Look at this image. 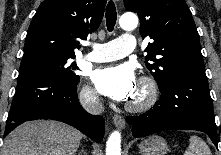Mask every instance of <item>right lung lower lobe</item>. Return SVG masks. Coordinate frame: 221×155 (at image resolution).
<instances>
[{"label": "right lung lower lobe", "mask_w": 221, "mask_h": 155, "mask_svg": "<svg viewBox=\"0 0 221 155\" xmlns=\"http://www.w3.org/2000/svg\"><path fill=\"white\" fill-rule=\"evenodd\" d=\"M77 84L62 82L52 74L37 69L20 73L4 137L25 121L52 119L67 123L94 141L101 142L105 129L104 119L89 114L81 107Z\"/></svg>", "instance_id": "right-lung-lower-lobe-1"}]
</instances>
